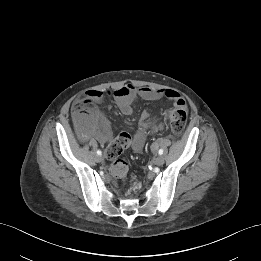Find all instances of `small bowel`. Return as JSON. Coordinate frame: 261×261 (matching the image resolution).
<instances>
[{"label": "small bowel", "mask_w": 261, "mask_h": 261, "mask_svg": "<svg viewBox=\"0 0 261 261\" xmlns=\"http://www.w3.org/2000/svg\"><path fill=\"white\" fill-rule=\"evenodd\" d=\"M87 97L95 102H101L104 98V93L99 90H91L88 92ZM113 97L119 110L125 115L133 112L134 104L138 99L154 101L167 98L174 103L176 108L185 109L186 107V102L181 94L172 89L135 87L127 84L117 88L113 92ZM146 117L147 112H143L142 127L140 131L133 135L132 149L135 151L142 149L149 134L163 130V125L147 128L144 124ZM81 136L84 139H95L102 144H107L112 140L110 122L102 110L91 108L84 115L81 121Z\"/></svg>", "instance_id": "1"}]
</instances>
